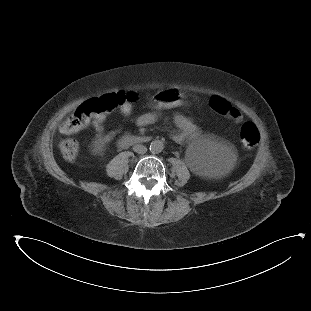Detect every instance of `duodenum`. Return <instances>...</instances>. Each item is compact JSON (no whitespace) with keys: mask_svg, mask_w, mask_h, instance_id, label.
Wrapping results in <instances>:
<instances>
[{"mask_svg":"<svg viewBox=\"0 0 311 311\" xmlns=\"http://www.w3.org/2000/svg\"><path fill=\"white\" fill-rule=\"evenodd\" d=\"M150 142V138L146 136L137 135H125L119 140L120 146H131L137 144H147Z\"/></svg>","mask_w":311,"mask_h":311,"instance_id":"410a0bca","label":"duodenum"}]
</instances>
